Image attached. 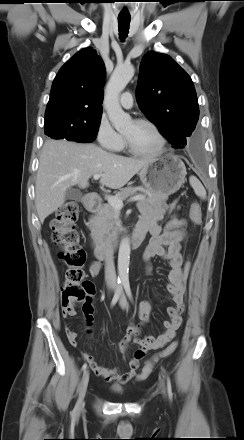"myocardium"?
Here are the masks:
<instances>
[{
    "label": "myocardium",
    "instance_id": "1",
    "mask_svg": "<svg viewBox=\"0 0 244 440\" xmlns=\"http://www.w3.org/2000/svg\"><path fill=\"white\" fill-rule=\"evenodd\" d=\"M133 122L136 124L146 125V126H149L150 128H152L159 139V146L155 151L143 152V151L138 150L132 144V142L126 136L123 135L124 143H125L127 150L134 155L143 156V157L156 156V155L163 153L164 150L166 149V146H167V139H166L163 131L161 130V128L155 122H153L149 119H146V118H138V119H135Z\"/></svg>",
    "mask_w": 244,
    "mask_h": 440
}]
</instances>
